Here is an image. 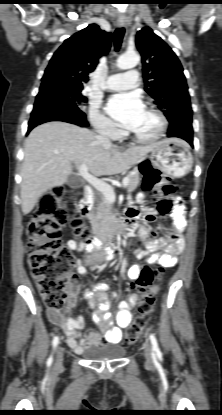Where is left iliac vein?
<instances>
[{
  "instance_id": "obj_1",
  "label": "left iliac vein",
  "mask_w": 222,
  "mask_h": 415,
  "mask_svg": "<svg viewBox=\"0 0 222 415\" xmlns=\"http://www.w3.org/2000/svg\"><path fill=\"white\" fill-rule=\"evenodd\" d=\"M144 354H145L147 364L151 365L153 363V359H152V347L149 341L145 342Z\"/></svg>"
}]
</instances>
